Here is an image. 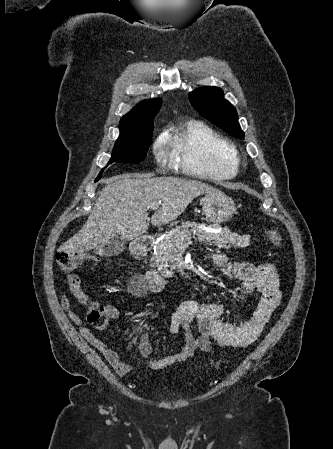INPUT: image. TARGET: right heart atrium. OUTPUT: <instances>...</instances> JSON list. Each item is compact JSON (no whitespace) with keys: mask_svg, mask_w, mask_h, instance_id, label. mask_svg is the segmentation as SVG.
<instances>
[{"mask_svg":"<svg viewBox=\"0 0 333 449\" xmlns=\"http://www.w3.org/2000/svg\"><path fill=\"white\" fill-rule=\"evenodd\" d=\"M154 155L158 161H161L164 157L163 152V142L161 140L157 141L153 147Z\"/></svg>","mask_w":333,"mask_h":449,"instance_id":"d8ad5b80","label":"right heart atrium"}]
</instances>
